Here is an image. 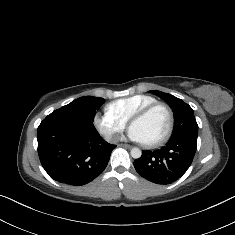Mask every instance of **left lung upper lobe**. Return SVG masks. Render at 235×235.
Segmentation results:
<instances>
[{"instance_id": "1", "label": "left lung upper lobe", "mask_w": 235, "mask_h": 235, "mask_svg": "<svg viewBox=\"0 0 235 235\" xmlns=\"http://www.w3.org/2000/svg\"><path fill=\"white\" fill-rule=\"evenodd\" d=\"M153 94L165 100L174 112V129L171 138L178 136H190L197 138L198 125L193 109L181 99L158 90H152Z\"/></svg>"}]
</instances>
